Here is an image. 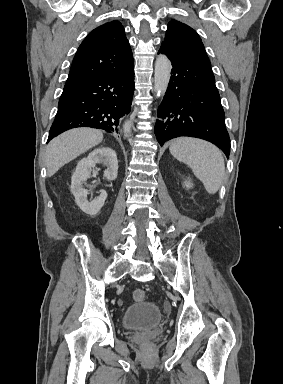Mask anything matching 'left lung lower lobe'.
<instances>
[{
	"label": "left lung lower lobe",
	"mask_w": 283,
	"mask_h": 384,
	"mask_svg": "<svg viewBox=\"0 0 283 384\" xmlns=\"http://www.w3.org/2000/svg\"><path fill=\"white\" fill-rule=\"evenodd\" d=\"M158 53L172 63L171 78L158 107L155 134L160 145L165 141L190 136L205 139L230 153V139L224 111L210 64L173 52L164 44Z\"/></svg>",
	"instance_id": "left-lung-lower-lobe-1"
}]
</instances>
